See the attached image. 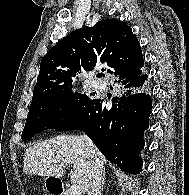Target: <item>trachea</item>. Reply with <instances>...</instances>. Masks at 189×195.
<instances>
[{
    "label": "trachea",
    "mask_w": 189,
    "mask_h": 195,
    "mask_svg": "<svg viewBox=\"0 0 189 195\" xmlns=\"http://www.w3.org/2000/svg\"><path fill=\"white\" fill-rule=\"evenodd\" d=\"M97 76H98V77H101V76H103V77H104V76H105V74L102 72V73L98 74Z\"/></svg>",
    "instance_id": "obj_1"
}]
</instances>
